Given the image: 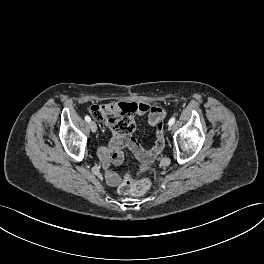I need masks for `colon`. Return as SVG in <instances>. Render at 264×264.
<instances>
[{
	"label": "colon",
	"mask_w": 264,
	"mask_h": 264,
	"mask_svg": "<svg viewBox=\"0 0 264 264\" xmlns=\"http://www.w3.org/2000/svg\"><path fill=\"white\" fill-rule=\"evenodd\" d=\"M137 112L135 103H109L93 105L90 113L96 120H105L112 131L119 134H130L135 129L134 115ZM156 140L159 145L164 143L163 123L161 122L156 130ZM151 182L148 179L137 180L133 177V171L125 174L119 185V192L124 195L139 196L150 188Z\"/></svg>",
	"instance_id": "obj_1"
}]
</instances>
